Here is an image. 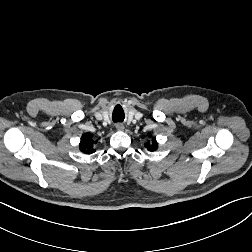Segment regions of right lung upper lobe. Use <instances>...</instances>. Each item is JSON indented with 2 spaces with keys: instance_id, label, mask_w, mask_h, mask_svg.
Segmentation results:
<instances>
[{
  "instance_id": "cb5924a9",
  "label": "right lung upper lobe",
  "mask_w": 252,
  "mask_h": 252,
  "mask_svg": "<svg viewBox=\"0 0 252 252\" xmlns=\"http://www.w3.org/2000/svg\"><path fill=\"white\" fill-rule=\"evenodd\" d=\"M92 134L85 133L82 135L81 141H80V150L83 153L91 154L95 152V149H93L94 140L92 139Z\"/></svg>"
}]
</instances>
